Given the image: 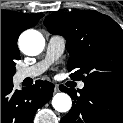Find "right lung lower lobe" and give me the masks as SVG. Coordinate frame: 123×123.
I'll return each mask as SVG.
<instances>
[{
	"instance_id": "right-lung-lower-lobe-1",
	"label": "right lung lower lobe",
	"mask_w": 123,
	"mask_h": 123,
	"mask_svg": "<svg viewBox=\"0 0 123 123\" xmlns=\"http://www.w3.org/2000/svg\"><path fill=\"white\" fill-rule=\"evenodd\" d=\"M54 85L38 80L30 88L13 90V82L1 83V123H32L35 112L52 97Z\"/></svg>"
}]
</instances>
